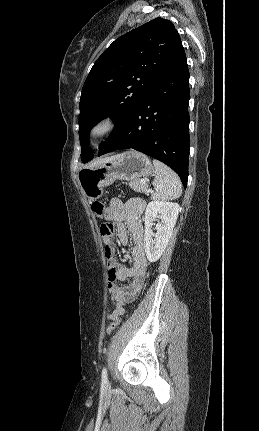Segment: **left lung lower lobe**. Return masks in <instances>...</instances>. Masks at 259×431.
<instances>
[{
  "mask_svg": "<svg viewBox=\"0 0 259 431\" xmlns=\"http://www.w3.org/2000/svg\"><path fill=\"white\" fill-rule=\"evenodd\" d=\"M189 98V70L181 47L117 132L99 147L98 156L113 150L135 149L172 168L186 188Z\"/></svg>",
  "mask_w": 259,
  "mask_h": 431,
  "instance_id": "1",
  "label": "left lung lower lobe"
}]
</instances>
